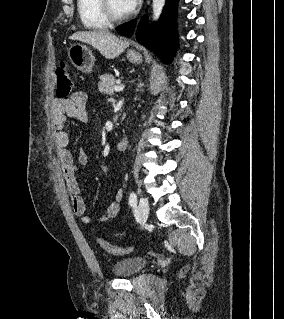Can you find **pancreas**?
I'll list each match as a JSON object with an SVG mask.
<instances>
[{"instance_id":"cf45deb5","label":"pancreas","mask_w":284,"mask_h":319,"mask_svg":"<svg viewBox=\"0 0 284 319\" xmlns=\"http://www.w3.org/2000/svg\"><path fill=\"white\" fill-rule=\"evenodd\" d=\"M98 83V89L102 94L112 95L114 93L115 84L118 83L113 76L109 74L101 75Z\"/></svg>"}]
</instances>
